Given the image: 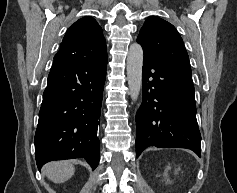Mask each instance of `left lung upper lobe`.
I'll return each instance as SVG.
<instances>
[{"instance_id": "left-lung-upper-lobe-1", "label": "left lung upper lobe", "mask_w": 237, "mask_h": 193, "mask_svg": "<svg viewBox=\"0 0 237 193\" xmlns=\"http://www.w3.org/2000/svg\"><path fill=\"white\" fill-rule=\"evenodd\" d=\"M137 42L142 45L144 54L191 74L189 57L183 40L169 22L150 16L140 30Z\"/></svg>"}]
</instances>
